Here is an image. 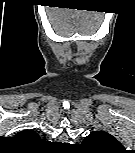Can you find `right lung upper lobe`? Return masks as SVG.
I'll use <instances>...</instances> for the list:
<instances>
[{
  "instance_id": "cb5924a9",
  "label": "right lung upper lobe",
  "mask_w": 135,
  "mask_h": 153,
  "mask_svg": "<svg viewBox=\"0 0 135 153\" xmlns=\"http://www.w3.org/2000/svg\"><path fill=\"white\" fill-rule=\"evenodd\" d=\"M18 137L26 139V140H30V141L40 140L39 135L33 130L23 131L18 135Z\"/></svg>"
}]
</instances>
